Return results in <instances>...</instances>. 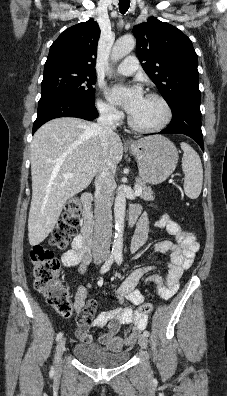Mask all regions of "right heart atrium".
I'll return each mask as SVG.
<instances>
[{
	"mask_svg": "<svg viewBox=\"0 0 227 396\" xmlns=\"http://www.w3.org/2000/svg\"><path fill=\"white\" fill-rule=\"evenodd\" d=\"M97 109L102 117L112 122H117L122 117V113L114 105L103 99H98Z\"/></svg>",
	"mask_w": 227,
	"mask_h": 396,
	"instance_id": "d8ad5b80",
	"label": "right heart atrium"
}]
</instances>
